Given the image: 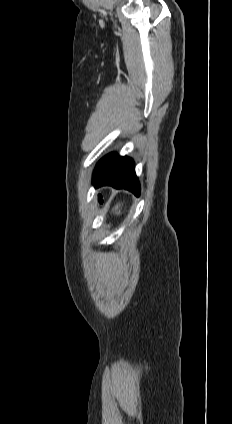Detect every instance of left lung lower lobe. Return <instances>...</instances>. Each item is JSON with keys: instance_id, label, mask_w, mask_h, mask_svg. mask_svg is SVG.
<instances>
[{"instance_id": "0a47b994", "label": "left lung lower lobe", "mask_w": 232, "mask_h": 424, "mask_svg": "<svg viewBox=\"0 0 232 424\" xmlns=\"http://www.w3.org/2000/svg\"><path fill=\"white\" fill-rule=\"evenodd\" d=\"M92 180L95 187L112 185L115 188H125L137 196L140 194L133 160L115 153L108 154L98 162Z\"/></svg>"}]
</instances>
